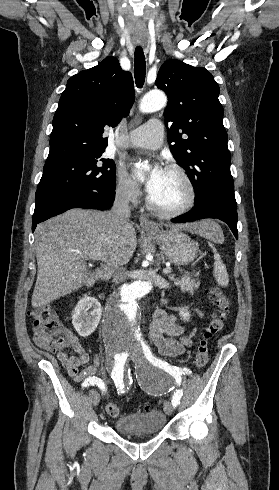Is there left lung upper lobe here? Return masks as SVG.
Instances as JSON below:
<instances>
[{
  "mask_svg": "<svg viewBox=\"0 0 279 490\" xmlns=\"http://www.w3.org/2000/svg\"><path fill=\"white\" fill-rule=\"evenodd\" d=\"M155 84L166 92L164 111L171 152L189 175L195 204L205 194L218 193L234 200L231 154L223 126L219 86L204 68L171 59L161 66Z\"/></svg>",
  "mask_w": 279,
  "mask_h": 490,
  "instance_id": "obj_1",
  "label": "left lung upper lobe"
}]
</instances>
